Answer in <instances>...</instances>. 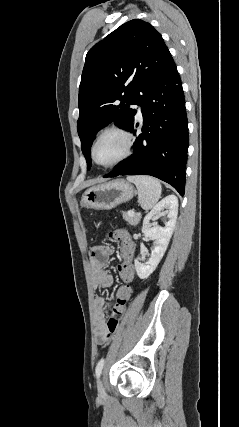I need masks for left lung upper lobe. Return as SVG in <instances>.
<instances>
[{"label":"left lung upper lobe","mask_w":239,"mask_h":427,"mask_svg":"<svg viewBox=\"0 0 239 427\" xmlns=\"http://www.w3.org/2000/svg\"><path fill=\"white\" fill-rule=\"evenodd\" d=\"M173 64L161 34L140 19L124 23L89 50L79 86L77 123L88 170L96 133L112 121L127 129L136 114L132 105Z\"/></svg>","instance_id":"left-lung-upper-lobe-1"}]
</instances>
